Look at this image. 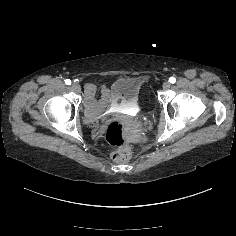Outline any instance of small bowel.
<instances>
[{
  "label": "small bowel",
  "instance_id": "c3829d8e",
  "mask_svg": "<svg viewBox=\"0 0 236 236\" xmlns=\"http://www.w3.org/2000/svg\"><path fill=\"white\" fill-rule=\"evenodd\" d=\"M90 89H95L96 87L93 85H90L89 87ZM100 88L102 89V92L106 93V86L105 85H101ZM107 94V93H106Z\"/></svg>",
  "mask_w": 236,
  "mask_h": 236
}]
</instances>
